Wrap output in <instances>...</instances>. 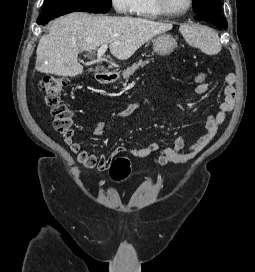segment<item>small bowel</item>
<instances>
[{"mask_svg":"<svg viewBox=\"0 0 255 272\" xmlns=\"http://www.w3.org/2000/svg\"><path fill=\"white\" fill-rule=\"evenodd\" d=\"M235 81L236 76L234 73L226 75L222 92L223 99L218 104L217 113L210 115L207 118L204 124V132L188 147H185L184 140L178 137L171 147L161 148L159 143L152 142L140 148H126L121 146L111 154L98 155L83 149L80 143L73 142L70 138H66L65 143L69 145L70 150L76 156L77 161L88 169L96 167L99 170H105L110 165L115 155L124 152L134 157L151 159L159 165L186 163L198 156L211 143L216 136L220 125L224 122L226 115L233 109L236 98L234 89ZM209 89L210 84L207 82L197 84L194 93L202 95L207 93ZM140 107V104H131L122 110L113 112L111 117L126 118L136 112ZM151 114L153 117H156L155 112L152 111ZM108 125L109 119L99 121L93 129V134L95 136H102Z\"/></svg>","mask_w":255,"mask_h":272,"instance_id":"1","label":"small bowel"}]
</instances>
